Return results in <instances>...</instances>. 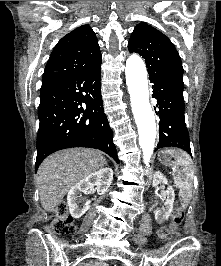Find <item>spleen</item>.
I'll list each match as a JSON object with an SVG mask.
<instances>
[{"label":"spleen","mask_w":221,"mask_h":266,"mask_svg":"<svg viewBox=\"0 0 221 266\" xmlns=\"http://www.w3.org/2000/svg\"><path fill=\"white\" fill-rule=\"evenodd\" d=\"M167 152L174 156L181 169L174 178L175 185L179 188V195L183 206L186 207L192 197L193 178L192 160L190 156L181 150L167 149Z\"/></svg>","instance_id":"spleen-1"}]
</instances>
